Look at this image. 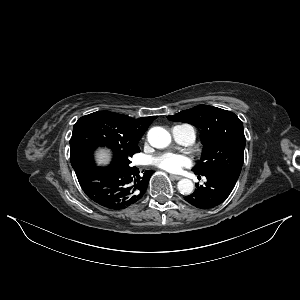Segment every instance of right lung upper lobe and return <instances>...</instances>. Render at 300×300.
<instances>
[{
    "label": "right lung upper lobe",
    "instance_id": "obj_1",
    "mask_svg": "<svg viewBox=\"0 0 300 300\" xmlns=\"http://www.w3.org/2000/svg\"><path fill=\"white\" fill-rule=\"evenodd\" d=\"M96 114L108 123L114 133L133 145L138 143V140L143 136L152 121L157 118V116H151L133 119L129 116L109 111H99Z\"/></svg>",
    "mask_w": 300,
    "mask_h": 300
}]
</instances>
